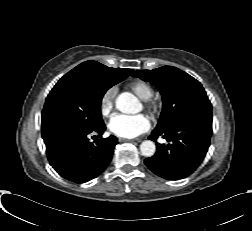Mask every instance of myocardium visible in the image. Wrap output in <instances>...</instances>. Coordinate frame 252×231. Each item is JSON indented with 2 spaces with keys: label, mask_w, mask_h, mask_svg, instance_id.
Segmentation results:
<instances>
[{
  "label": "myocardium",
  "mask_w": 252,
  "mask_h": 231,
  "mask_svg": "<svg viewBox=\"0 0 252 231\" xmlns=\"http://www.w3.org/2000/svg\"><path fill=\"white\" fill-rule=\"evenodd\" d=\"M146 107H147L148 111L153 115L157 114L160 109L159 103L154 100H148L146 102Z\"/></svg>",
  "instance_id": "1"
}]
</instances>
